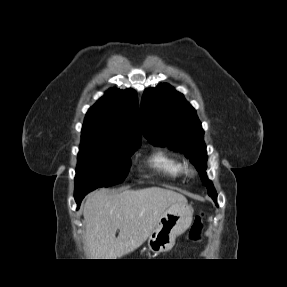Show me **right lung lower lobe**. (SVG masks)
<instances>
[{"label": "right lung lower lobe", "instance_id": "1", "mask_svg": "<svg viewBox=\"0 0 287 287\" xmlns=\"http://www.w3.org/2000/svg\"><path fill=\"white\" fill-rule=\"evenodd\" d=\"M86 194L87 193H82V194H80L78 196H75V201L77 203V208L80 207L81 201L83 200V198L85 197Z\"/></svg>", "mask_w": 287, "mask_h": 287}]
</instances>
